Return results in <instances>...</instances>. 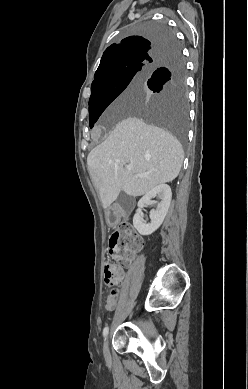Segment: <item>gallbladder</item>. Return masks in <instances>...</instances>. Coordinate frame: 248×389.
Returning a JSON list of instances; mask_svg holds the SVG:
<instances>
[{
    "mask_svg": "<svg viewBox=\"0 0 248 389\" xmlns=\"http://www.w3.org/2000/svg\"><path fill=\"white\" fill-rule=\"evenodd\" d=\"M117 203L121 205L125 210H128L131 206V198L124 192H121L117 198Z\"/></svg>",
    "mask_w": 248,
    "mask_h": 389,
    "instance_id": "1",
    "label": "gallbladder"
}]
</instances>
